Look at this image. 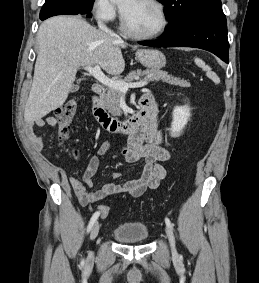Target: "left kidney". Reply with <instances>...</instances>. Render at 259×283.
<instances>
[{
	"label": "left kidney",
	"mask_w": 259,
	"mask_h": 283,
	"mask_svg": "<svg viewBox=\"0 0 259 283\" xmlns=\"http://www.w3.org/2000/svg\"><path fill=\"white\" fill-rule=\"evenodd\" d=\"M173 121L171 123L170 135L171 137H179L181 131L186 126L190 119V108L189 106H177L173 110Z\"/></svg>",
	"instance_id": "1"
}]
</instances>
